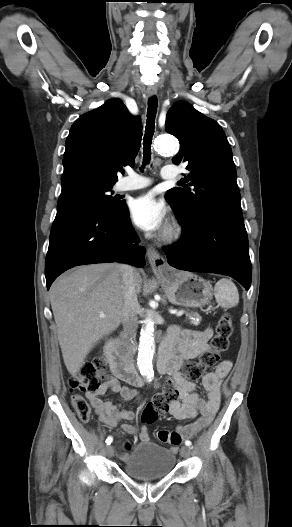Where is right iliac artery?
I'll list each match as a JSON object with an SVG mask.
<instances>
[{
    "label": "right iliac artery",
    "instance_id": "82829eb1",
    "mask_svg": "<svg viewBox=\"0 0 292 527\" xmlns=\"http://www.w3.org/2000/svg\"><path fill=\"white\" fill-rule=\"evenodd\" d=\"M112 441H113L112 436H108L107 439H106V444L110 445L112 443Z\"/></svg>",
    "mask_w": 292,
    "mask_h": 527
}]
</instances>
